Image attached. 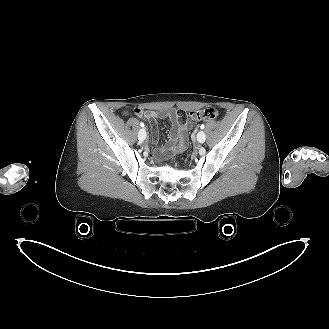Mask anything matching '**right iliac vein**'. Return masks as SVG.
<instances>
[{
  "mask_svg": "<svg viewBox=\"0 0 329 329\" xmlns=\"http://www.w3.org/2000/svg\"><path fill=\"white\" fill-rule=\"evenodd\" d=\"M145 138H146V131H145V129H141L138 133V139L140 141H144Z\"/></svg>",
  "mask_w": 329,
  "mask_h": 329,
  "instance_id": "1",
  "label": "right iliac vein"
}]
</instances>
